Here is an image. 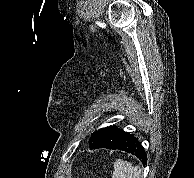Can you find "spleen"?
<instances>
[{
    "mask_svg": "<svg viewBox=\"0 0 194 178\" xmlns=\"http://www.w3.org/2000/svg\"><path fill=\"white\" fill-rule=\"evenodd\" d=\"M112 178H141L139 166L133 167L130 162L116 159L113 164Z\"/></svg>",
    "mask_w": 194,
    "mask_h": 178,
    "instance_id": "obj_1",
    "label": "spleen"
}]
</instances>
